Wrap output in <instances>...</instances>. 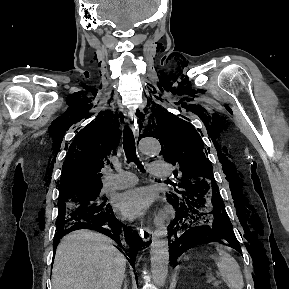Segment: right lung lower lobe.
Here are the masks:
<instances>
[{
	"instance_id": "1",
	"label": "right lung lower lobe",
	"mask_w": 289,
	"mask_h": 289,
	"mask_svg": "<svg viewBox=\"0 0 289 289\" xmlns=\"http://www.w3.org/2000/svg\"><path fill=\"white\" fill-rule=\"evenodd\" d=\"M78 229H91L109 236L120 246L119 250L127 255V260L134 267L136 253L141 245V238L137 231H131L130 228L125 227L123 223L116 219L111 206L98 214L80 217L73 221L63 232L56 233L53 241L54 251H56V247L64 235Z\"/></svg>"
}]
</instances>
